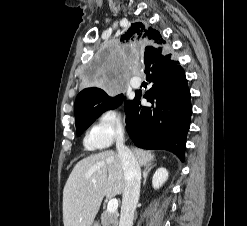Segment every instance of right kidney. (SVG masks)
<instances>
[{"label":"right kidney","mask_w":247,"mask_h":226,"mask_svg":"<svg viewBox=\"0 0 247 226\" xmlns=\"http://www.w3.org/2000/svg\"><path fill=\"white\" fill-rule=\"evenodd\" d=\"M168 178V171L161 167L156 170L152 178V186L154 189H159L167 180Z\"/></svg>","instance_id":"right-kidney-1"}]
</instances>
